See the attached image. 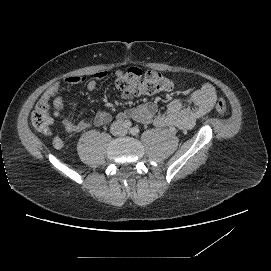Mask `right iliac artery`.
<instances>
[{
	"instance_id": "1",
	"label": "right iliac artery",
	"mask_w": 271,
	"mask_h": 271,
	"mask_svg": "<svg viewBox=\"0 0 271 271\" xmlns=\"http://www.w3.org/2000/svg\"><path fill=\"white\" fill-rule=\"evenodd\" d=\"M131 125H132V123H131V121H129V120H126V121L124 122V127H125V128H130Z\"/></svg>"
}]
</instances>
